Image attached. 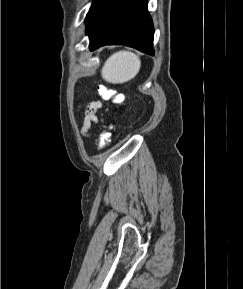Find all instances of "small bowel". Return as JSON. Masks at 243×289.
Wrapping results in <instances>:
<instances>
[{
	"instance_id": "c3829d8e",
	"label": "small bowel",
	"mask_w": 243,
	"mask_h": 289,
	"mask_svg": "<svg viewBox=\"0 0 243 289\" xmlns=\"http://www.w3.org/2000/svg\"><path fill=\"white\" fill-rule=\"evenodd\" d=\"M102 103L100 101L91 102L88 105L87 113L83 121L82 132L87 134L88 129L90 128L92 123L97 122L96 112L101 109Z\"/></svg>"
}]
</instances>
